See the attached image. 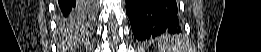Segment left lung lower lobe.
<instances>
[{"mask_svg": "<svg viewBox=\"0 0 261 52\" xmlns=\"http://www.w3.org/2000/svg\"><path fill=\"white\" fill-rule=\"evenodd\" d=\"M126 13L139 41L180 32L175 0H127Z\"/></svg>", "mask_w": 261, "mask_h": 52, "instance_id": "1", "label": "left lung lower lobe"}]
</instances>
